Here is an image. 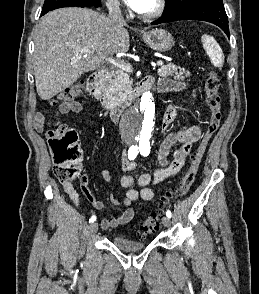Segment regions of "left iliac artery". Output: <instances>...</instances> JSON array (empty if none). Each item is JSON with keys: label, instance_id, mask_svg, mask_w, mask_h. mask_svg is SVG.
Listing matches in <instances>:
<instances>
[{"label": "left iliac artery", "instance_id": "1", "mask_svg": "<svg viewBox=\"0 0 259 294\" xmlns=\"http://www.w3.org/2000/svg\"><path fill=\"white\" fill-rule=\"evenodd\" d=\"M140 154L143 156H148L150 153V144L149 143H142L139 145ZM166 216L171 218L172 213L170 210L166 212Z\"/></svg>", "mask_w": 259, "mask_h": 294}]
</instances>
